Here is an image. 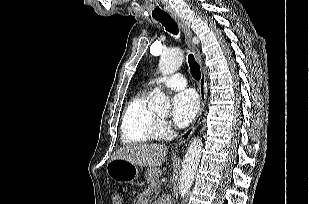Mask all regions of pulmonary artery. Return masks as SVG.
<instances>
[{
	"instance_id": "pulmonary-artery-1",
	"label": "pulmonary artery",
	"mask_w": 309,
	"mask_h": 204,
	"mask_svg": "<svg viewBox=\"0 0 309 204\" xmlns=\"http://www.w3.org/2000/svg\"><path fill=\"white\" fill-rule=\"evenodd\" d=\"M187 86V81L180 75H174L167 78H157L153 80L148 89L152 90L156 87H164V88H170L174 90H180Z\"/></svg>"
}]
</instances>
